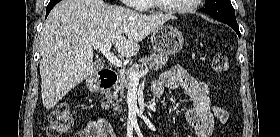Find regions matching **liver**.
Returning <instances> with one entry per match:
<instances>
[{"label": "liver", "instance_id": "6515ba94", "mask_svg": "<svg viewBox=\"0 0 280 137\" xmlns=\"http://www.w3.org/2000/svg\"><path fill=\"white\" fill-rule=\"evenodd\" d=\"M171 15H145L103 0H62L48 15L40 38L41 96L53 108L95 71L93 43H112L123 57Z\"/></svg>", "mask_w": 280, "mask_h": 137}]
</instances>
